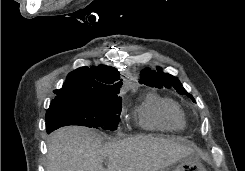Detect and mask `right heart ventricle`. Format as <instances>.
I'll return each instance as SVG.
<instances>
[{"label": "right heart ventricle", "mask_w": 245, "mask_h": 171, "mask_svg": "<svg viewBox=\"0 0 245 171\" xmlns=\"http://www.w3.org/2000/svg\"><path fill=\"white\" fill-rule=\"evenodd\" d=\"M139 125L150 131H175L185 126V116L174 100L156 93L145 95L137 108Z\"/></svg>", "instance_id": "obj_1"}]
</instances>
